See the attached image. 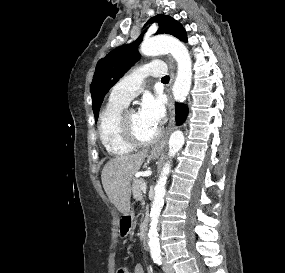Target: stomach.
Here are the masks:
<instances>
[{
    "mask_svg": "<svg viewBox=\"0 0 285 273\" xmlns=\"http://www.w3.org/2000/svg\"><path fill=\"white\" fill-rule=\"evenodd\" d=\"M157 154H151V158H156ZM133 219H134V213L129 212L128 215H124V217L121 219V223L119 225V232L122 236H127L132 227H133ZM128 226V227H127Z\"/></svg>",
    "mask_w": 285,
    "mask_h": 273,
    "instance_id": "stomach-1",
    "label": "stomach"
}]
</instances>
